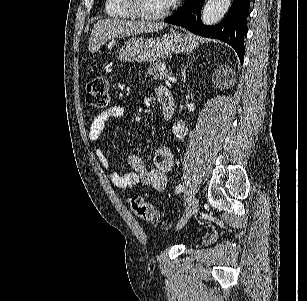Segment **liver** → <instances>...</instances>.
<instances>
[{
    "mask_svg": "<svg viewBox=\"0 0 307 301\" xmlns=\"http://www.w3.org/2000/svg\"><path fill=\"white\" fill-rule=\"evenodd\" d=\"M168 24L153 22V20H123V18H102L93 26L88 48L90 52H97L109 38H124L135 36L142 32H158Z\"/></svg>",
    "mask_w": 307,
    "mask_h": 301,
    "instance_id": "liver-1",
    "label": "liver"
}]
</instances>
